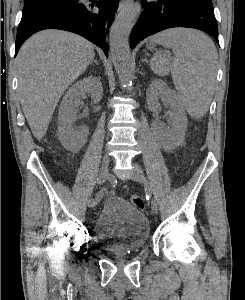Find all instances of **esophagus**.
<instances>
[{
    "label": "esophagus",
    "mask_w": 245,
    "mask_h": 300,
    "mask_svg": "<svg viewBox=\"0 0 245 300\" xmlns=\"http://www.w3.org/2000/svg\"><path fill=\"white\" fill-rule=\"evenodd\" d=\"M132 0H121L119 3L118 10H121L124 8L126 5H128Z\"/></svg>",
    "instance_id": "esophagus-1"
}]
</instances>
